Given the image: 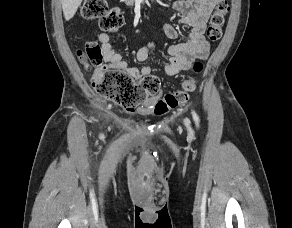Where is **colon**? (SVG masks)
I'll return each instance as SVG.
<instances>
[{
  "label": "colon",
  "mask_w": 292,
  "mask_h": 228,
  "mask_svg": "<svg viewBox=\"0 0 292 228\" xmlns=\"http://www.w3.org/2000/svg\"><path fill=\"white\" fill-rule=\"evenodd\" d=\"M229 9L227 0L218 1L207 29V36L211 41H217L221 38L225 17ZM81 16L86 20H99L101 29L108 33L117 31L124 25L122 13L116 8L108 9L106 0H85L81 7ZM78 56L89 68L96 67L91 79L92 87L96 93L125 108L140 105L148 97L159 92V80L153 75L146 76L137 83L124 71L103 69L101 66L103 52L96 42H87L84 48L79 50ZM201 70L202 64L196 61L193 64V71L199 73ZM195 88L196 79L193 76L187 77L180 90L168 93L158 100L155 105L156 114H165L186 103L189 94Z\"/></svg>",
  "instance_id": "colon-1"
}]
</instances>
